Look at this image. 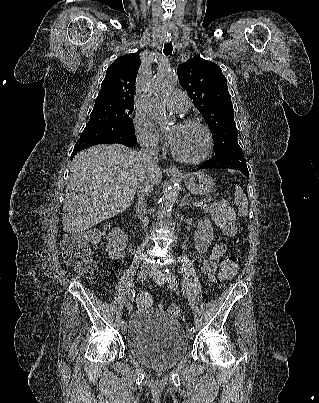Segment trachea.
Instances as JSON below:
<instances>
[{
	"label": "trachea",
	"instance_id": "1",
	"mask_svg": "<svg viewBox=\"0 0 319 403\" xmlns=\"http://www.w3.org/2000/svg\"><path fill=\"white\" fill-rule=\"evenodd\" d=\"M173 51V45L171 42H167L164 44V49H163V53L165 55H171Z\"/></svg>",
	"mask_w": 319,
	"mask_h": 403
}]
</instances>
